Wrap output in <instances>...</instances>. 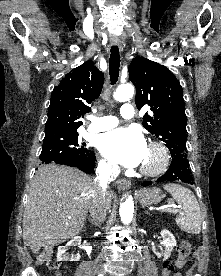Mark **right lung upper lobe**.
I'll return each mask as SVG.
<instances>
[{
    "label": "right lung upper lobe",
    "instance_id": "right-lung-upper-lobe-1",
    "mask_svg": "<svg viewBox=\"0 0 221 276\" xmlns=\"http://www.w3.org/2000/svg\"><path fill=\"white\" fill-rule=\"evenodd\" d=\"M103 81V73L91 60L66 74L52 91L45 134L77 131L81 118L91 110L88 105L99 97Z\"/></svg>",
    "mask_w": 221,
    "mask_h": 276
}]
</instances>
